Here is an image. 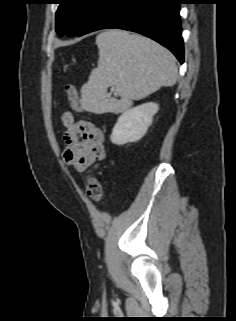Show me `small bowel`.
<instances>
[{"label":"small bowel","instance_id":"small-bowel-1","mask_svg":"<svg viewBox=\"0 0 236 321\" xmlns=\"http://www.w3.org/2000/svg\"><path fill=\"white\" fill-rule=\"evenodd\" d=\"M60 120L65 129L63 158L66 164L84 170L105 158L104 134L94 123L76 121L71 112H64Z\"/></svg>","mask_w":236,"mask_h":321}]
</instances>
